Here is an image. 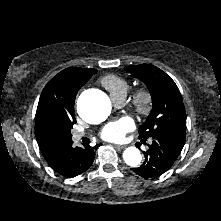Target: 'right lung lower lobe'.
Segmentation results:
<instances>
[{
    "label": "right lung lower lobe",
    "mask_w": 221,
    "mask_h": 221,
    "mask_svg": "<svg viewBox=\"0 0 221 221\" xmlns=\"http://www.w3.org/2000/svg\"><path fill=\"white\" fill-rule=\"evenodd\" d=\"M73 142L61 144L55 147L48 155L44 156L48 164L60 175L73 178L85 172L93 163L95 149L98 145L91 147L84 145L74 147Z\"/></svg>",
    "instance_id": "right-lung-lower-lobe-1"
}]
</instances>
